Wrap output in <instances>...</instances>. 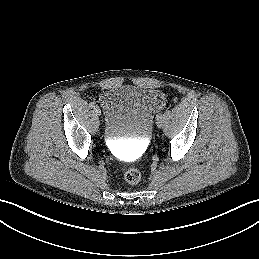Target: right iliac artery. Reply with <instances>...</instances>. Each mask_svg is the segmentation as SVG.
<instances>
[{
	"label": "right iliac artery",
	"mask_w": 259,
	"mask_h": 259,
	"mask_svg": "<svg viewBox=\"0 0 259 259\" xmlns=\"http://www.w3.org/2000/svg\"><path fill=\"white\" fill-rule=\"evenodd\" d=\"M90 107H95L93 103L90 104Z\"/></svg>",
	"instance_id": "1"
}]
</instances>
